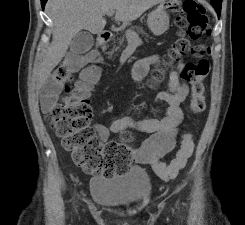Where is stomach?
I'll return each mask as SVG.
<instances>
[{
    "label": "stomach",
    "mask_w": 245,
    "mask_h": 225,
    "mask_svg": "<svg viewBox=\"0 0 245 225\" xmlns=\"http://www.w3.org/2000/svg\"><path fill=\"white\" fill-rule=\"evenodd\" d=\"M169 18L167 6L161 4L149 13L147 26L155 36H160L169 29Z\"/></svg>",
    "instance_id": "0dacf381"
}]
</instances>
